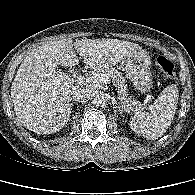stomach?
I'll use <instances>...</instances> for the list:
<instances>
[{
    "mask_svg": "<svg viewBox=\"0 0 195 195\" xmlns=\"http://www.w3.org/2000/svg\"><path fill=\"white\" fill-rule=\"evenodd\" d=\"M150 65V57L144 50L137 51L125 60L126 77L141 92H147L152 87Z\"/></svg>",
    "mask_w": 195,
    "mask_h": 195,
    "instance_id": "obj_1",
    "label": "stomach"
}]
</instances>
